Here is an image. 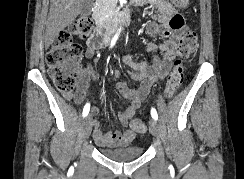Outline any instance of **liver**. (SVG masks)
I'll list each match as a JSON object with an SVG mask.
<instances>
[{"instance_id": "1", "label": "liver", "mask_w": 244, "mask_h": 179, "mask_svg": "<svg viewBox=\"0 0 244 179\" xmlns=\"http://www.w3.org/2000/svg\"><path fill=\"white\" fill-rule=\"evenodd\" d=\"M83 0H50V10L45 34V46L49 48L54 38L80 14Z\"/></svg>"}]
</instances>
